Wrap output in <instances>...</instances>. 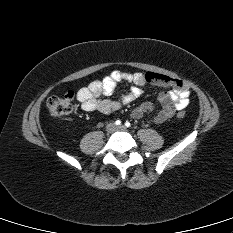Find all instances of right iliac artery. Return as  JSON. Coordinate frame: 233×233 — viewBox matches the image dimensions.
<instances>
[{
  "mask_svg": "<svg viewBox=\"0 0 233 233\" xmlns=\"http://www.w3.org/2000/svg\"><path fill=\"white\" fill-rule=\"evenodd\" d=\"M115 124H116V125H120V124H121V121H120V120H116V121H115Z\"/></svg>",
  "mask_w": 233,
  "mask_h": 233,
  "instance_id": "obj_1",
  "label": "right iliac artery"
}]
</instances>
